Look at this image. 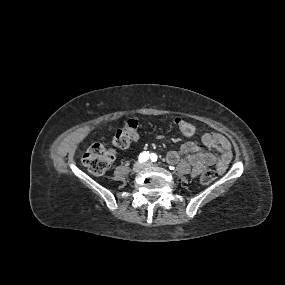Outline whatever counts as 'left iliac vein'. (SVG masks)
<instances>
[{
	"mask_svg": "<svg viewBox=\"0 0 285 285\" xmlns=\"http://www.w3.org/2000/svg\"><path fill=\"white\" fill-rule=\"evenodd\" d=\"M151 165H152L151 162H146V163L144 164V167H150Z\"/></svg>",
	"mask_w": 285,
	"mask_h": 285,
	"instance_id": "4c4485c4",
	"label": "left iliac vein"
}]
</instances>
